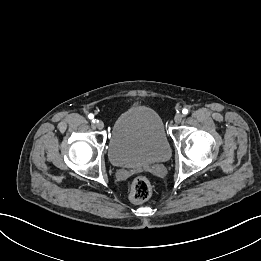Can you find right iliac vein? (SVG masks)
I'll use <instances>...</instances> for the list:
<instances>
[{"label":"right iliac vein","instance_id":"1","mask_svg":"<svg viewBox=\"0 0 261 261\" xmlns=\"http://www.w3.org/2000/svg\"><path fill=\"white\" fill-rule=\"evenodd\" d=\"M95 126H96L97 129L101 130V129L104 128V123L102 121H97L95 123Z\"/></svg>","mask_w":261,"mask_h":261}]
</instances>
